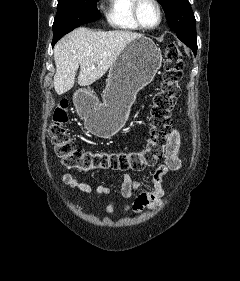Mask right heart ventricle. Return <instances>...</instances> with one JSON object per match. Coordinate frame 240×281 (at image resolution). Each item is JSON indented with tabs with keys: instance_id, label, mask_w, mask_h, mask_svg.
<instances>
[{
	"instance_id": "1",
	"label": "right heart ventricle",
	"mask_w": 240,
	"mask_h": 281,
	"mask_svg": "<svg viewBox=\"0 0 240 281\" xmlns=\"http://www.w3.org/2000/svg\"><path fill=\"white\" fill-rule=\"evenodd\" d=\"M134 0H107L105 16L108 24L121 31H139L132 15Z\"/></svg>"
}]
</instances>
